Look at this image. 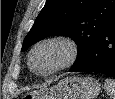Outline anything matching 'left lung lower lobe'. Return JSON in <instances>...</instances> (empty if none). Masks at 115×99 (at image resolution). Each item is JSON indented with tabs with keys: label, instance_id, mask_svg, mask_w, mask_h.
<instances>
[{
	"label": "left lung lower lobe",
	"instance_id": "obj_1",
	"mask_svg": "<svg viewBox=\"0 0 115 99\" xmlns=\"http://www.w3.org/2000/svg\"><path fill=\"white\" fill-rule=\"evenodd\" d=\"M71 72H98L115 78V21Z\"/></svg>",
	"mask_w": 115,
	"mask_h": 99
}]
</instances>
